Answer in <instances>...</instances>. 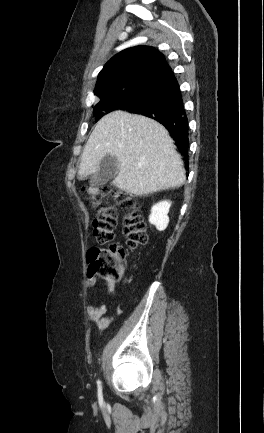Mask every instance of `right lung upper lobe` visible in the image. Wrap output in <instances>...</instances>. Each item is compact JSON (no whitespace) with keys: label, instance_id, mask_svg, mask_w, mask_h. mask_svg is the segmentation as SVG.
Returning <instances> with one entry per match:
<instances>
[{"label":"right lung upper lobe","instance_id":"right-lung-upper-lobe-1","mask_svg":"<svg viewBox=\"0 0 264 433\" xmlns=\"http://www.w3.org/2000/svg\"><path fill=\"white\" fill-rule=\"evenodd\" d=\"M166 62L153 47L135 46L115 55L98 75L95 95L99 98L139 86Z\"/></svg>","mask_w":264,"mask_h":433}]
</instances>
